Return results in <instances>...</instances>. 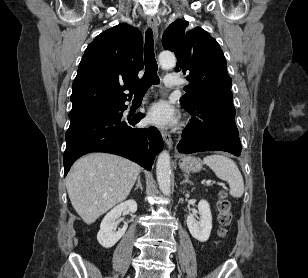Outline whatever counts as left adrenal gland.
I'll return each instance as SVG.
<instances>
[{
    "instance_id": "left-adrenal-gland-1",
    "label": "left adrenal gland",
    "mask_w": 308,
    "mask_h": 278,
    "mask_svg": "<svg viewBox=\"0 0 308 278\" xmlns=\"http://www.w3.org/2000/svg\"><path fill=\"white\" fill-rule=\"evenodd\" d=\"M184 177H185V180H183L181 184L188 183L190 185H193V183L189 180V175L184 174Z\"/></svg>"
}]
</instances>
